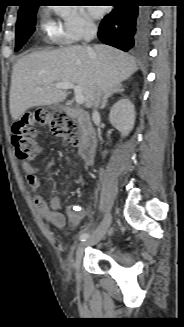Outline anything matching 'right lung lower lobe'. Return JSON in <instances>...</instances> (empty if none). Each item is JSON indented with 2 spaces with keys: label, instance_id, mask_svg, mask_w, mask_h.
I'll return each instance as SVG.
<instances>
[{
  "label": "right lung lower lobe",
  "instance_id": "98d812e1",
  "mask_svg": "<svg viewBox=\"0 0 184 327\" xmlns=\"http://www.w3.org/2000/svg\"><path fill=\"white\" fill-rule=\"evenodd\" d=\"M114 7L100 23V41L126 52L145 47L150 34L149 11L130 1Z\"/></svg>",
  "mask_w": 184,
  "mask_h": 327
}]
</instances>
